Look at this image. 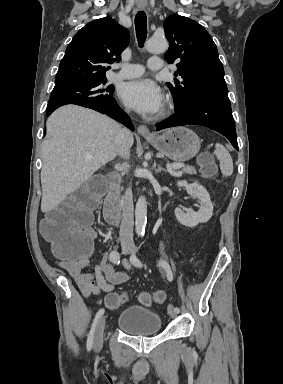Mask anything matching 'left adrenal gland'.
<instances>
[{
    "label": "left adrenal gland",
    "instance_id": "left-adrenal-gland-1",
    "mask_svg": "<svg viewBox=\"0 0 283 384\" xmlns=\"http://www.w3.org/2000/svg\"><path fill=\"white\" fill-rule=\"evenodd\" d=\"M156 174H160V172H168V170H165V168H161V166H158L155 170Z\"/></svg>",
    "mask_w": 283,
    "mask_h": 384
}]
</instances>
